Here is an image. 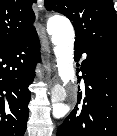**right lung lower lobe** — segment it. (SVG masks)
<instances>
[{
    "label": "right lung lower lobe",
    "instance_id": "obj_1",
    "mask_svg": "<svg viewBox=\"0 0 117 136\" xmlns=\"http://www.w3.org/2000/svg\"><path fill=\"white\" fill-rule=\"evenodd\" d=\"M39 48L36 30L0 48V136H24Z\"/></svg>",
    "mask_w": 117,
    "mask_h": 136
}]
</instances>
